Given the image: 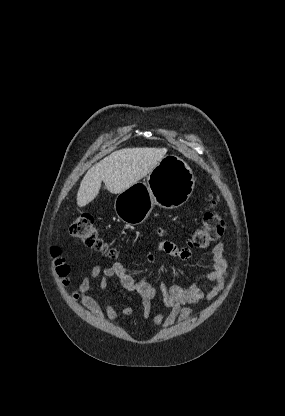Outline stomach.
Wrapping results in <instances>:
<instances>
[{
  "label": "stomach",
  "mask_w": 285,
  "mask_h": 416,
  "mask_svg": "<svg viewBox=\"0 0 285 416\" xmlns=\"http://www.w3.org/2000/svg\"><path fill=\"white\" fill-rule=\"evenodd\" d=\"M195 186L194 174L178 156H165L150 172L146 182H137L114 202V210L125 224H142L154 206L174 210L189 200Z\"/></svg>",
  "instance_id": "1"
}]
</instances>
